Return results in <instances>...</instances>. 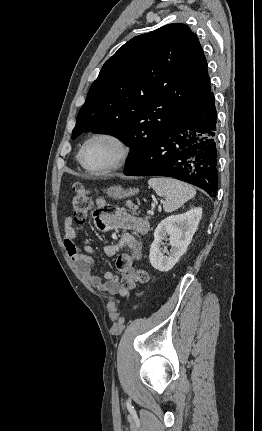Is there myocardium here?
<instances>
[{"label":"myocardium","mask_w":262,"mask_h":431,"mask_svg":"<svg viewBox=\"0 0 262 431\" xmlns=\"http://www.w3.org/2000/svg\"><path fill=\"white\" fill-rule=\"evenodd\" d=\"M100 139L110 140L117 146V149H118L117 157H116L114 163L110 167H108L106 169H102V170H92L85 165L84 154H85V151H86L88 145L91 142H93L95 140H100ZM130 153H131V147H130L128 141L123 136H121L120 134L115 133V132H100V133H96V134L92 135L83 143V145L79 151V154H78V161H79V164L81 165V167L88 174H90L92 176H102V175L111 174V173L121 169L125 165V163L127 162Z\"/></svg>","instance_id":"obj_1"}]
</instances>
